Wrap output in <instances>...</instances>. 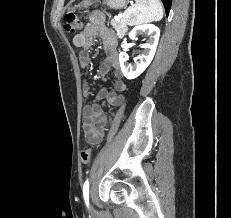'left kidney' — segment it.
<instances>
[{"label": "left kidney", "instance_id": "5707ae66", "mask_svg": "<svg viewBox=\"0 0 231 218\" xmlns=\"http://www.w3.org/2000/svg\"><path fill=\"white\" fill-rule=\"evenodd\" d=\"M147 34L148 42L142 44V48L144 51L142 53L141 59L139 63L134 65L128 64V55L126 52H121L119 55L120 67L123 75L127 79H134L138 77L143 71L149 66L151 63L154 54L156 52V48L159 41L160 30L154 24H143L135 26L129 32V38L135 39L136 36L140 34Z\"/></svg>", "mask_w": 231, "mask_h": 218}]
</instances>
